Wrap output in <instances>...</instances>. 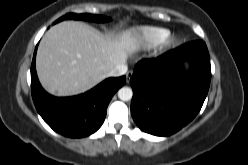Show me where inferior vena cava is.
<instances>
[{
    "label": "inferior vena cava",
    "mask_w": 248,
    "mask_h": 165,
    "mask_svg": "<svg viewBox=\"0 0 248 165\" xmlns=\"http://www.w3.org/2000/svg\"><path fill=\"white\" fill-rule=\"evenodd\" d=\"M128 70V67L126 64H119L115 66L109 73V77H118L121 75H124Z\"/></svg>",
    "instance_id": "602c4592"
}]
</instances>
